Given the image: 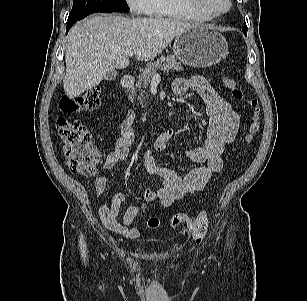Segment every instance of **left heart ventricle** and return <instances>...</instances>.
I'll list each match as a JSON object with an SVG mask.
<instances>
[{"label": "left heart ventricle", "mask_w": 307, "mask_h": 301, "mask_svg": "<svg viewBox=\"0 0 307 301\" xmlns=\"http://www.w3.org/2000/svg\"><path fill=\"white\" fill-rule=\"evenodd\" d=\"M204 2L216 10H223L226 7V0H204Z\"/></svg>", "instance_id": "b2bd125f"}]
</instances>
